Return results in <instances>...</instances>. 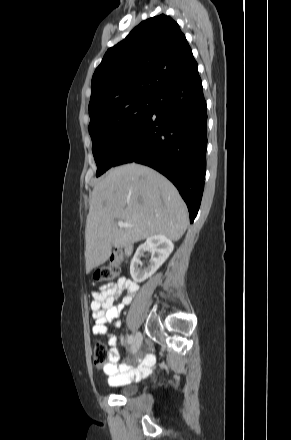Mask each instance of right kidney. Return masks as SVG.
<instances>
[{
	"label": "right kidney",
	"mask_w": 291,
	"mask_h": 440,
	"mask_svg": "<svg viewBox=\"0 0 291 440\" xmlns=\"http://www.w3.org/2000/svg\"><path fill=\"white\" fill-rule=\"evenodd\" d=\"M174 245L170 239L164 235H153L146 239L145 243L140 245L131 261L130 274L135 282H143L151 277L159 267L166 261ZM145 252L151 253L148 264L144 267L141 257Z\"/></svg>",
	"instance_id": "obj_1"
}]
</instances>
